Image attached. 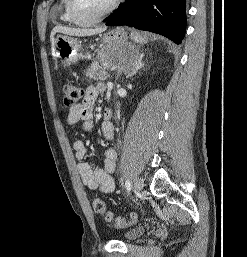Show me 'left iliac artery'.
I'll return each mask as SVG.
<instances>
[{"label": "left iliac artery", "instance_id": "44dca946", "mask_svg": "<svg viewBox=\"0 0 247 257\" xmlns=\"http://www.w3.org/2000/svg\"><path fill=\"white\" fill-rule=\"evenodd\" d=\"M125 187H126L127 192H130V190H131V182L129 180H126Z\"/></svg>", "mask_w": 247, "mask_h": 257}]
</instances>
